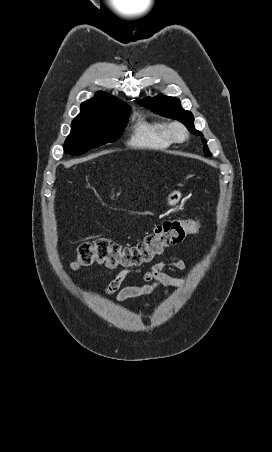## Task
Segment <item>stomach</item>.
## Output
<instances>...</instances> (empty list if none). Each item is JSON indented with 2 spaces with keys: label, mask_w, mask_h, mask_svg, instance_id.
Returning a JSON list of instances; mask_svg holds the SVG:
<instances>
[{
  "label": "stomach",
  "mask_w": 272,
  "mask_h": 452,
  "mask_svg": "<svg viewBox=\"0 0 272 452\" xmlns=\"http://www.w3.org/2000/svg\"><path fill=\"white\" fill-rule=\"evenodd\" d=\"M183 197V194L179 190H172L167 198V205L170 207H177Z\"/></svg>",
  "instance_id": "1"
}]
</instances>
